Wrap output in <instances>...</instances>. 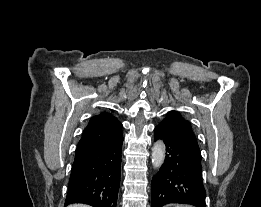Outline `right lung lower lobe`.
Segmentation results:
<instances>
[{
    "mask_svg": "<svg viewBox=\"0 0 261 207\" xmlns=\"http://www.w3.org/2000/svg\"><path fill=\"white\" fill-rule=\"evenodd\" d=\"M123 137L92 150L75 153L65 206L84 203L116 207L121 173Z\"/></svg>",
    "mask_w": 261,
    "mask_h": 207,
    "instance_id": "right-lung-lower-lobe-1",
    "label": "right lung lower lobe"
}]
</instances>
